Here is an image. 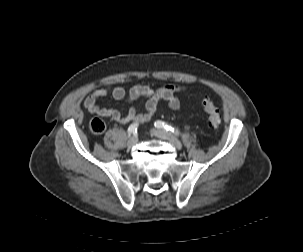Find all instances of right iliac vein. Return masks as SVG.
I'll return each instance as SVG.
<instances>
[{"instance_id": "63e3f726", "label": "right iliac vein", "mask_w": 303, "mask_h": 252, "mask_svg": "<svg viewBox=\"0 0 303 252\" xmlns=\"http://www.w3.org/2000/svg\"><path fill=\"white\" fill-rule=\"evenodd\" d=\"M136 143H137V137H136V136H132V137L128 140V142H127V144H128L129 147L134 146Z\"/></svg>"}]
</instances>
